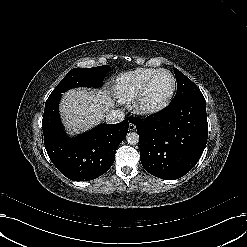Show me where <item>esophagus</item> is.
Returning a JSON list of instances; mask_svg holds the SVG:
<instances>
[{
	"instance_id": "esophagus-1",
	"label": "esophagus",
	"mask_w": 247,
	"mask_h": 247,
	"mask_svg": "<svg viewBox=\"0 0 247 247\" xmlns=\"http://www.w3.org/2000/svg\"><path fill=\"white\" fill-rule=\"evenodd\" d=\"M136 126L133 123H129V131H134Z\"/></svg>"
}]
</instances>
